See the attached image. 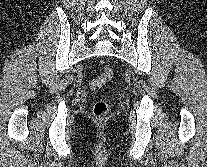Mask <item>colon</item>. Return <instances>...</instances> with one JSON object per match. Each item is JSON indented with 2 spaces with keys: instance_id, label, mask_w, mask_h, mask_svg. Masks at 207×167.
Masks as SVG:
<instances>
[{
  "instance_id": "colon-1",
  "label": "colon",
  "mask_w": 207,
  "mask_h": 167,
  "mask_svg": "<svg viewBox=\"0 0 207 167\" xmlns=\"http://www.w3.org/2000/svg\"><path fill=\"white\" fill-rule=\"evenodd\" d=\"M113 76V71L110 68H105L100 75L94 77L90 81V88L92 90L100 89L105 85ZM110 110V105L108 102L100 100L97 101L93 106V114L97 118H104Z\"/></svg>"
}]
</instances>
